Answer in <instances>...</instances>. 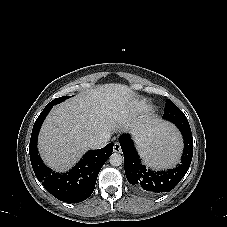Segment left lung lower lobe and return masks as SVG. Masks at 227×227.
Segmentation results:
<instances>
[{"label":"left lung lower lobe","mask_w":227,"mask_h":227,"mask_svg":"<svg viewBox=\"0 0 227 227\" xmlns=\"http://www.w3.org/2000/svg\"><path fill=\"white\" fill-rule=\"evenodd\" d=\"M163 119L174 123L184 138L181 162L173 169L167 171L147 169L142 164L130 135L123 134L119 140L124 153L126 178L138 193L146 196H159L174 189L188 171L193 157L191 128L184 113L172 101H168Z\"/></svg>","instance_id":"obj_1"}]
</instances>
